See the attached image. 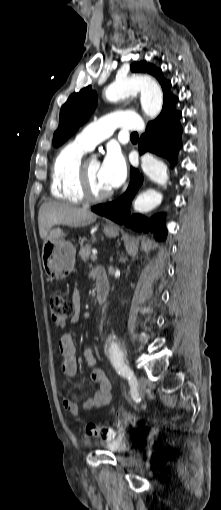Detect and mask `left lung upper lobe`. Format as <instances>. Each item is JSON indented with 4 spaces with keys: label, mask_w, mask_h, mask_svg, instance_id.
Wrapping results in <instances>:
<instances>
[{
    "label": "left lung upper lobe",
    "mask_w": 221,
    "mask_h": 510,
    "mask_svg": "<svg viewBox=\"0 0 221 510\" xmlns=\"http://www.w3.org/2000/svg\"><path fill=\"white\" fill-rule=\"evenodd\" d=\"M130 68L133 72L153 75L161 84L164 101L159 117L170 110H176L178 98L171 93V83L164 79L160 69L145 61L134 63ZM96 105L97 94L92 90L91 86H87L80 90V92L70 95L67 102L61 107L59 127L53 136V146L59 147L70 138L88 120L94 112Z\"/></svg>",
    "instance_id": "left-lung-upper-lobe-1"
}]
</instances>
